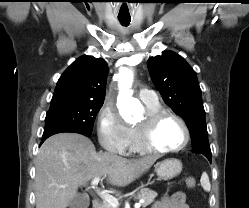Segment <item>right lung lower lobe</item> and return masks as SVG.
<instances>
[{
	"instance_id": "right-lung-lower-lobe-1",
	"label": "right lung lower lobe",
	"mask_w": 249,
	"mask_h": 208,
	"mask_svg": "<svg viewBox=\"0 0 249 208\" xmlns=\"http://www.w3.org/2000/svg\"><path fill=\"white\" fill-rule=\"evenodd\" d=\"M62 132H73L69 130H64V129H47L44 130L43 136H42V141L41 144L50 136L57 134V133H62ZM77 133V132H75ZM81 134V133H80ZM84 135V134H83Z\"/></svg>"
}]
</instances>
